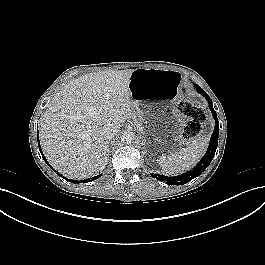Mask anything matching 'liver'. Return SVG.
<instances>
[{
  "label": "liver",
  "mask_w": 265,
  "mask_h": 265,
  "mask_svg": "<svg viewBox=\"0 0 265 265\" xmlns=\"http://www.w3.org/2000/svg\"><path fill=\"white\" fill-rule=\"evenodd\" d=\"M134 70L83 75L64 85L42 117L40 139L49 163L68 178L85 179L108 163L104 125L117 130L135 115L129 91Z\"/></svg>",
  "instance_id": "liver-1"
}]
</instances>
